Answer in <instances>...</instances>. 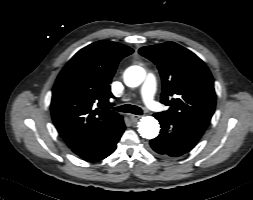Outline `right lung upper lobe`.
<instances>
[{
  "mask_svg": "<svg viewBox=\"0 0 253 200\" xmlns=\"http://www.w3.org/2000/svg\"><path fill=\"white\" fill-rule=\"evenodd\" d=\"M132 53L128 46L100 40L78 51L58 75L52 120L71 149L102 136L122 120L105 105L114 97L109 84L119 61Z\"/></svg>",
  "mask_w": 253,
  "mask_h": 200,
  "instance_id": "right-lung-upper-lobe-1",
  "label": "right lung upper lobe"
}]
</instances>
